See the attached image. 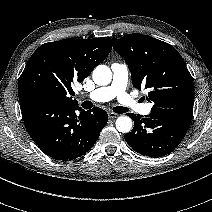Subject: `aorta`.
I'll return each mask as SVG.
<instances>
[{"instance_id":"762f6f07","label":"aorta","mask_w":212,"mask_h":212,"mask_svg":"<svg viewBox=\"0 0 212 212\" xmlns=\"http://www.w3.org/2000/svg\"><path fill=\"white\" fill-rule=\"evenodd\" d=\"M93 81L97 85H108L112 79V72L106 65H98L92 73ZM116 128L119 132L128 133L132 129V119L128 116H120L116 120Z\"/></svg>"}]
</instances>
